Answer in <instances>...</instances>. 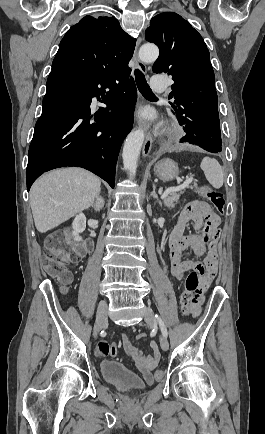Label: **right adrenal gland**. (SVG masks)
I'll return each mask as SVG.
<instances>
[{
	"mask_svg": "<svg viewBox=\"0 0 265 434\" xmlns=\"http://www.w3.org/2000/svg\"><path fill=\"white\" fill-rule=\"evenodd\" d=\"M104 204V198H102V196H96V200L94 204H92V208L95 210V212H100V210L104 208Z\"/></svg>",
	"mask_w": 265,
	"mask_h": 434,
	"instance_id": "1",
	"label": "right adrenal gland"
}]
</instances>
